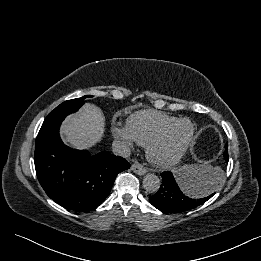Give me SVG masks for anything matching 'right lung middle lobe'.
I'll list each match as a JSON object with an SVG mask.
<instances>
[{"label":"right lung middle lobe","instance_id":"obj_1","mask_svg":"<svg viewBox=\"0 0 261 261\" xmlns=\"http://www.w3.org/2000/svg\"><path fill=\"white\" fill-rule=\"evenodd\" d=\"M86 97H91V96H84L81 98H76L63 102L58 107H56L52 112L49 113V115L46 117V120L55 117H62V116L65 117L68 114L76 112L84 104V99Z\"/></svg>","mask_w":261,"mask_h":261}]
</instances>
